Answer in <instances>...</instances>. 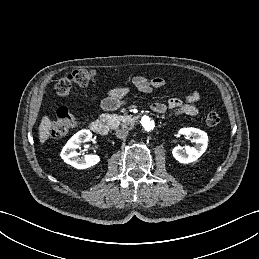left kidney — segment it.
<instances>
[{"mask_svg": "<svg viewBox=\"0 0 259 259\" xmlns=\"http://www.w3.org/2000/svg\"><path fill=\"white\" fill-rule=\"evenodd\" d=\"M180 134L190 136L195 143L194 147L186 146L183 149L181 146H176L172 150L173 157L180 163L188 164L196 161L207 149L208 136L207 133L197 128H182Z\"/></svg>", "mask_w": 259, "mask_h": 259, "instance_id": "1", "label": "left kidney"}]
</instances>
